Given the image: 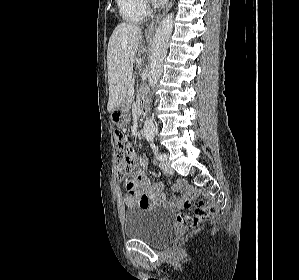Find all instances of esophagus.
<instances>
[{"instance_id":"34e87169","label":"esophagus","mask_w":299,"mask_h":280,"mask_svg":"<svg viewBox=\"0 0 299 280\" xmlns=\"http://www.w3.org/2000/svg\"><path fill=\"white\" fill-rule=\"evenodd\" d=\"M175 0H170V2L168 3L166 9L163 11L162 14H160L159 16H157L147 27L146 32L147 33H153L157 26L159 25L161 19L163 18V16L169 11V9L172 7L173 3Z\"/></svg>"}]
</instances>
